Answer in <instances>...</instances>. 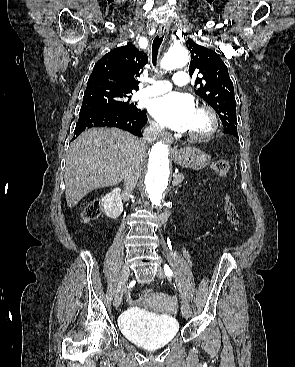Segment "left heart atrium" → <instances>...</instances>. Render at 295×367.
Returning a JSON list of instances; mask_svg holds the SVG:
<instances>
[{"instance_id":"1","label":"left heart atrium","mask_w":295,"mask_h":367,"mask_svg":"<svg viewBox=\"0 0 295 367\" xmlns=\"http://www.w3.org/2000/svg\"><path fill=\"white\" fill-rule=\"evenodd\" d=\"M149 111L160 124L174 130L186 131L190 128L197 110L189 95L172 92L152 100Z\"/></svg>"}]
</instances>
